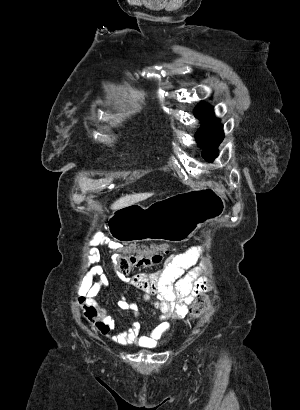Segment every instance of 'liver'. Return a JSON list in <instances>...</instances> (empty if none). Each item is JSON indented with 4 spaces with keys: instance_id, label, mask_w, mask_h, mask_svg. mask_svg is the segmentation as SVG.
Here are the masks:
<instances>
[{
    "instance_id": "obj_1",
    "label": "liver",
    "mask_w": 300,
    "mask_h": 410,
    "mask_svg": "<svg viewBox=\"0 0 300 410\" xmlns=\"http://www.w3.org/2000/svg\"><path fill=\"white\" fill-rule=\"evenodd\" d=\"M150 195L151 193H139V194L126 195L124 197H121L117 201H115L111 205V209L116 210V209H119L125 206L136 204L142 200H145Z\"/></svg>"
}]
</instances>
